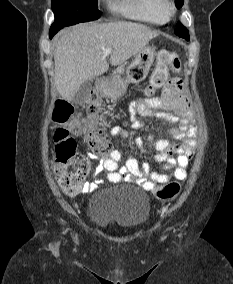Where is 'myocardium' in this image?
Wrapping results in <instances>:
<instances>
[{"label": "myocardium", "mask_w": 233, "mask_h": 284, "mask_svg": "<svg viewBox=\"0 0 233 284\" xmlns=\"http://www.w3.org/2000/svg\"><path fill=\"white\" fill-rule=\"evenodd\" d=\"M159 10L165 20L170 19L176 12L175 5L171 0H161Z\"/></svg>", "instance_id": "obj_1"}]
</instances>
